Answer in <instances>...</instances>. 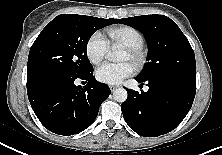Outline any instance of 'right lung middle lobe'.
Returning a JSON list of instances; mask_svg holds the SVG:
<instances>
[{
    "mask_svg": "<svg viewBox=\"0 0 222 155\" xmlns=\"http://www.w3.org/2000/svg\"><path fill=\"white\" fill-rule=\"evenodd\" d=\"M116 19L65 14L45 26L33 43L28 57L27 93L78 78L93 70L87 57L92 34Z\"/></svg>",
    "mask_w": 222,
    "mask_h": 155,
    "instance_id": "right-lung-middle-lobe-1",
    "label": "right lung middle lobe"
}]
</instances>
